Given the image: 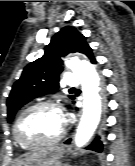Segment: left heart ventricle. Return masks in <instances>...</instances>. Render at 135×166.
Returning <instances> with one entry per match:
<instances>
[{"mask_svg":"<svg viewBox=\"0 0 135 166\" xmlns=\"http://www.w3.org/2000/svg\"><path fill=\"white\" fill-rule=\"evenodd\" d=\"M64 125L60 112L53 108H41L28 113L19 125V135L29 142L56 138Z\"/></svg>","mask_w":135,"mask_h":166,"instance_id":"left-heart-ventricle-1","label":"left heart ventricle"}]
</instances>
